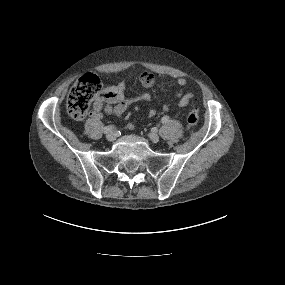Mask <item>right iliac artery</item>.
Masks as SVG:
<instances>
[{
  "label": "right iliac artery",
  "instance_id": "right-iliac-artery-1",
  "mask_svg": "<svg viewBox=\"0 0 285 285\" xmlns=\"http://www.w3.org/2000/svg\"><path fill=\"white\" fill-rule=\"evenodd\" d=\"M113 129H114V126H112V125L106 126V127H104V133L107 134V133L111 132Z\"/></svg>",
  "mask_w": 285,
  "mask_h": 285
}]
</instances>
